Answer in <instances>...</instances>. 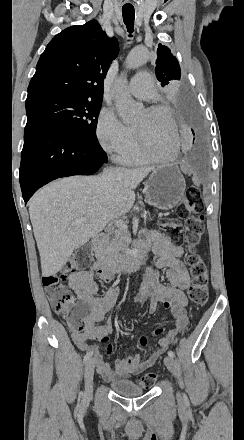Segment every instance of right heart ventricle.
<instances>
[{"mask_svg":"<svg viewBox=\"0 0 244 440\" xmlns=\"http://www.w3.org/2000/svg\"><path fill=\"white\" fill-rule=\"evenodd\" d=\"M139 136L140 135L137 133L138 139ZM144 144V147H139V142H137L134 149L119 153L116 160L119 163L128 166L150 165L152 163V153L150 152L152 148L147 146L145 142Z\"/></svg>","mask_w":244,"mask_h":440,"instance_id":"obj_1","label":"right heart ventricle"}]
</instances>
